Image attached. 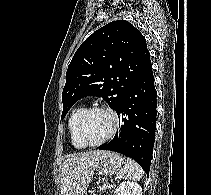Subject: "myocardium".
<instances>
[{"instance_id":"obj_1","label":"myocardium","mask_w":211,"mask_h":195,"mask_svg":"<svg viewBox=\"0 0 211 195\" xmlns=\"http://www.w3.org/2000/svg\"><path fill=\"white\" fill-rule=\"evenodd\" d=\"M93 111H104V112L108 113L112 118V127H111L110 132L102 140L95 142V143H89L84 140L82 133H81V128H82V124H83L86 116ZM118 128H119V117H118L117 113L112 108L107 107V106H102V105L91 106L89 108H86L79 116V118L77 120V125H76V135L84 147H98V146H101V145L105 144L106 142H108L115 135Z\"/></svg>"}]
</instances>
